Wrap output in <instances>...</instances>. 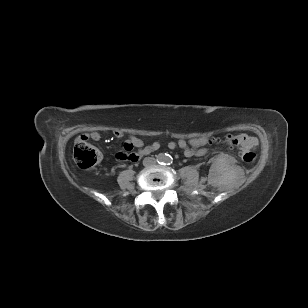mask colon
Returning a JSON list of instances; mask_svg holds the SVG:
<instances>
[{
    "label": "colon",
    "instance_id": "5ec220e1",
    "mask_svg": "<svg viewBox=\"0 0 308 308\" xmlns=\"http://www.w3.org/2000/svg\"><path fill=\"white\" fill-rule=\"evenodd\" d=\"M219 142L225 143L230 147L239 148L240 156L243 161L253 162L255 160L256 155L254 150L258 145L256 138L240 134L236 136L228 135L223 138H212L207 141L209 144ZM131 150V146L123 145V150L116 155L117 159L121 161H135V154L130 153ZM101 159V151L89 143V138L86 135H82L76 139L74 146V160L80 168L90 169L96 166Z\"/></svg>",
    "mask_w": 308,
    "mask_h": 308
}]
</instances>
